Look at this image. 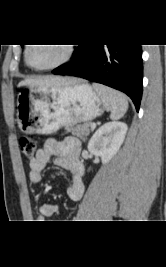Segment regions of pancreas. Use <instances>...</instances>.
<instances>
[{
    "label": "pancreas",
    "mask_w": 166,
    "mask_h": 267,
    "mask_svg": "<svg viewBox=\"0 0 166 267\" xmlns=\"http://www.w3.org/2000/svg\"><path fill=\"white\" fill-rule=\"evenodd\" d=\"M90 126H91V123L87 122L84 124L76 125L74 127L66 126L65 130L67 133H71L81 138L82 140H85V138L89 136L90 134V131H91Z\"/></svg>",
    "instance_id": "pancreas-1"
}]
</instances>
